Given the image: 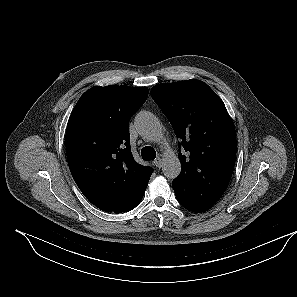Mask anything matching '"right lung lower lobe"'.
I'll list each match as a JSON object with an SVG mask.
<instances>
[{"mask_svg":"<svg viewBox=\"0 0 297 297\" xmlns=\"http://www.w3.org/2000/svg\"><path fill=\"white\" fill-rule=\"evenodd\" d=\"M143 194H144V192L138 197V199L134 202V204L127 211L135 208L140 203V201L142 200Z\"/></svg>","mask_w":297,"mask_h":297,"instance_id":"right-lung-lower-lobe-1","label":"right lung lower lobe"}]
</instances>
